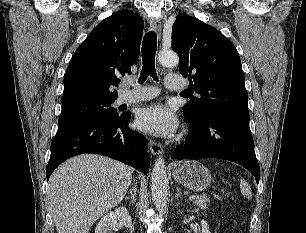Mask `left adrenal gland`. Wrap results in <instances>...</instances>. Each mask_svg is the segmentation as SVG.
<instances>
[{
  "label": "left adrenal gland",
  "mask_w": 306,
  "mask_h": 233,
  "mask_svg": "<svg viewBox=\"0 0 306 233\" xmlns=\"http://www.w3.org/2000/svg\"><path fill=\"white\" fill-rule=\"evenodd\" d=\"M176 191H177V194H176V199L178 200L180 198V196H182V193H181V189L180 188H176Z\"/></svg>",
  "instance_id": "obj_1"
}]
</instances>
